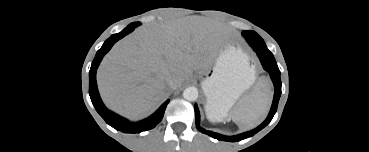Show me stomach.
Instances as JSON below:
<instances>
[{
	"instance_id": "stomach-1",
	"label": "stomach",
	"mask_w": 369,
	"mask_h": 152,
	"mask_svg": "<svg viewBox=\"0 0 369 152\" xmlns=\"http://www.w3.org/2000/svg\"><path fill=\"white\" fill-rule=\"evenodd\" d=\"M255 80V70L239 47L226 44L221 50L211 75L202 81L206 96L205 110L210 120L221 121L236 100ZM209 119V118H208Z\"/></svg>"
}]
</instances>
